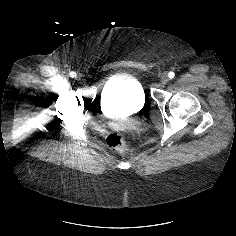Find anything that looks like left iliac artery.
I'll use <instances>...</instances> for the list:
<instances>
[{
    "label": "left iliac artery",
    "mask_w": 236,
    "mask_h": 236,
    "mask_svg": "<svg viewBox=\"0 0 236 236\" xmlns=\"http://www.w3.org/2000/svg\"><path fill=\"white\" fill-rule=\"evenodd\" d=\"M168 76H169V78H171V79H172V78H174V76H175V73L171 71V72H169V73H168Z\"/></svg>",
    "instance_id": "obj_1"
}]
</instances>
